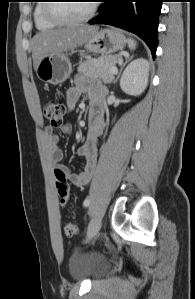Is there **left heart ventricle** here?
Segmentation results:
<instances>
[{"instance_id": "obj_1", "label": "left heart ventricle", "mask_w": 195, "mask_h": 299, "mask_svg": "<svg viewBox=\"0 0 195 299\" xmlns=\"http://www.w3.org/2000/svg\"><path fill=\"white\" fill-rule=\"evenodd\" d=\"M92 1H72L57 3L53 7V11L65 18H80L85 16L90 8Z\"/></svg>"}]
</instances>
